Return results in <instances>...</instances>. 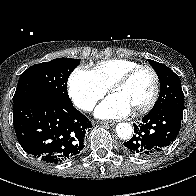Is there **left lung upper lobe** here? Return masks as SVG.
Wrapping results in <instances>:
<instances>
[{"label": "left lung upper lobe", "mask_w": 196, "mask_h": 196, "mask_svg": "<svg viewBox=\"0 0 196 196\" xmlns=\"http://www.w3.org/2000/svg\"><path fill=\"white\" fill-rule=\"evenodd\" d=\"M160 81V95L151 111L173 109L183 112L184 94L179 77L166 65L149 60Z\"/></svg>", "instance_id": "1"}]
</instances>
